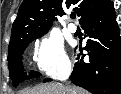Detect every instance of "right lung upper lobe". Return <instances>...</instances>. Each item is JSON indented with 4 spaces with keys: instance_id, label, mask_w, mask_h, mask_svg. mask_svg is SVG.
I'll return each mask as SVG.
<instances>
[{
    "instance_id": "obj_1",
    "label": "right lung upper lobe",
    "mask_w": 121,
    "mask_h": 94,
    "mask_svg": "<svg viewBox=\"0 0 121 94\" xmlns=\"http://www.w3.org/2000/svg\"><path fill=\"white\" fill-rule=\"evenodd\" d=\"M110 0H24L13 23L10 43L31 30L48 31L64 10L74 7L79 22L105 7Z\"/></svg>"
}]
</instances>
